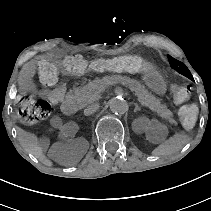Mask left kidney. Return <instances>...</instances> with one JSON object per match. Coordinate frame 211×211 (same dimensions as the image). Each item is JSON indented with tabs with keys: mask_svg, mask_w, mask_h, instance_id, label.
Instances as JSON below:
<instances>
[{
	"mask_svg": "<svg viewBox=\"0 0 211 211\" xmlns=\"http://www.w3.org/2000/svg\"><path fill=\"white\" fill-rule=\"evenodd\" d=\"M148 126H150V121H149L148 124H147V127H148Z\"/></svg>",
	"mask_w": 211,
	"mask_h": 211,
	"instance_id": "5707ae66",
	"label": "left kidney"
}]
</instances>
